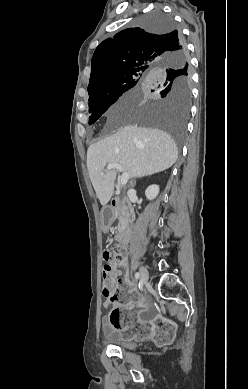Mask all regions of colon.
I'll return each instance as SVG.
<instances>
[{
    "instance_id": "5ec220e1",
    "label": "colon",
    "mask_w": 248,
    "mask_h": 389,
    "mask_svg": "<svg viewBox=\"0 0 248 389\" xmlns=\"http://www.w3.org/2000/svg\"><path fill=\"white\" fill-rule=\"evenodd\" d=\"M105 264L103 266L104 280V295L108 300L119 303L110 313V324L121 330L124 338L140 337L144 339L148 333H154L157 338L156 347H166L167 343L171 342L174 335L175 324L173 322H165L170 316L168 311H163L158 320L157 316L153 317L154 322L151 326L150 322H138V315L141 318L146 316L144 312L145 306L141 307L139 313L138 305H130V303H140L141 298L137 296L138 291L136 282H128L125 278L124 262L125 254L119 247H113L104 252ZM132 293L131 296L127 291Z\"/></svg>"
}]
</instances>
